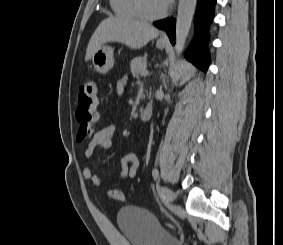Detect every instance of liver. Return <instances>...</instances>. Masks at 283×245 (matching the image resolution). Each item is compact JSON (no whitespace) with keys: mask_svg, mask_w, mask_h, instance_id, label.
I'll return each instance as SVG.
<instances>
[{"mask_svg":"<svg viewBox=\"0 0 283 245\" xmlns=\"http://www.w3.org/2000/svg\"><path fill=\"white\" fill-rule=\"evenodd\" d=\"M158 35V29L149 23L110 17L102 21L92 35L86 50L85 61H89L105 43L118 42L131 49H140Z\"/></svg>","mask_w":283,"mask_h":245,"instance_id":"obj_1","label":"liver"}]
</instances>
